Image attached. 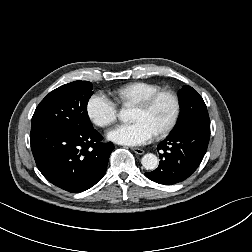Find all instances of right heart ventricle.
<instances>
[{"instance_id":"e07e8e85","label":"right heart ventricle","mask_w":252,"mask_h":252,"mask_svg":"<svg viewBox=\"0 0 252 252\" xmlns=\"http://www.w3.org/2000/svg\"><path fill=\"white\" fill-rule=\"evenodd\" d=\"M157 84L149 82H133L126 84L114 91V98L123 104L136 105L152 93L160 90Z\"/></svg>"}]
</instances>
